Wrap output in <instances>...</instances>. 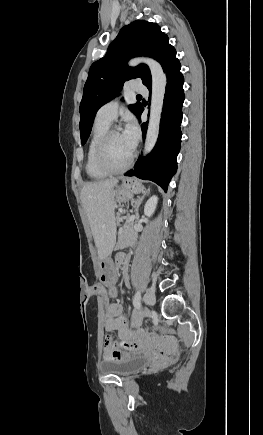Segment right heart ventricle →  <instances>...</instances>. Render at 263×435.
I'll list each match as a JSON object with an SVG mask.
<instances>
[{
    "instance_id": "e07e8e85",
    "label": "right heart ventricle",
    "mask_w": 263,
    "mask_h": 435,
    "mask_svg": "<svg viewBox=\"0 0 263 435\" xmlns=\"http://www.w3.org/2000/svg\"><path fill=\"white\" fill-rule=\"evenodd\" d=\"M109 128V123L97 119L93 124L90 140L87 147L85 170L88 177L94 180L104 179L108 176V173L100 170L97 167L95 163V151L101 137Z\"/></svg>"
}]
</instances>
